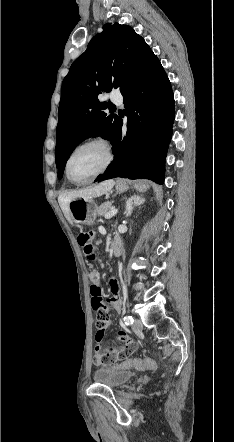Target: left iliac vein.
Instances as JSON below:
<instances>
[{"instance_id": "4c4485c4", "label": "left iliac vein", "mask_w": 234, "mask_h": 442, "mask_svg": "<svg viewBox=\"0 0 234 442\" xmlns=\"http://www.w3.org/2000/svg\"><path fill=\"white\" fill-rule=\"evenodd\" d=\"M132 328H133L134 331H140V330H142V328H143L142 321H141L139 318H136V319L134 320V323H133V325H132Z\"/></svg>"}]
</instances>
